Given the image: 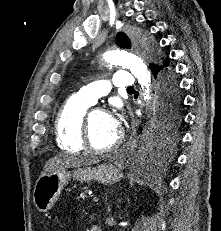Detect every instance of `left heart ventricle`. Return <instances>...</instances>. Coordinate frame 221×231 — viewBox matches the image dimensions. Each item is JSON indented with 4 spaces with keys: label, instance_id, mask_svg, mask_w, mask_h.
<instances>
[{
    "label": "left heart ventricle",
    "instance_id": "b2bd125f",
    "mask_svg": "<svg viewBox=\"0 0 221 231\" xmlns=\"http://www.w3.org/2000/svg\"><path fill=\"white\" fill-rule=\"evenodd\" d=\"M90 126L91 141L96 148H106L110 146L118 136V131H115L111 127L107 113H93Z\"/></svg>",
    "mask_w": 221,
    "mask_h": 231
}]
</instances>
